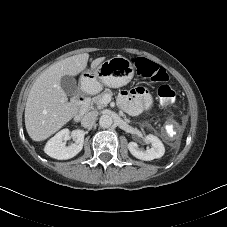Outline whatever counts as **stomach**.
I'll return each instance as SVG.
<instances>
[{"label": "stomach", "mask_w": 227, "mask_h": 227, "mask_svg": "<svg viewBox=\"0 0 227 227\" xmlns=\"http://www.w3.org/2000/svg\"><path fill=\"white\" fill-rule=\"evenodd\" d=\"M134 76V68L131 61L123 56H116L102 62L94 69H86L82 72L81 80L86 84L89 92H96L101 84L118 88L128 84ZM89 81L96 82V87L89 85Z\"/></svg>", "instance_id": "0dacf381"}]
</instances>
